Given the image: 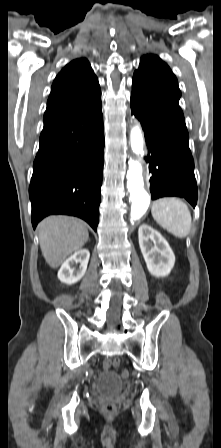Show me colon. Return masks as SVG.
Segmentation results:
<instances>
[{
  "mask_svg": "<svg viewBox=\"0 0 221 448\" xmlns=\"http://www.w3.org/2000/svg\"><path fill=\"white\" fill-rule=\"evenodd\" d=\"M111 368L120 369V361L118 359L114 360L106 359L103 362V369L107 371L110 370ZM120 373L123 378L129 377V371L126 369H120ZM102 412L107 417H113L117 414V407L112 402H105L102 405Z\"/></svg>",
  "mask_w": 221,
  "mask_h": 448,
  "instance_id": "5ec220e1",
  "label": "colon"
}]
</instances>
